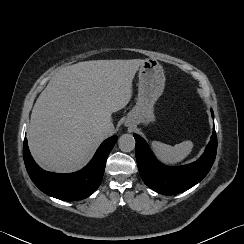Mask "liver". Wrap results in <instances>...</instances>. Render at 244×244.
Listing matches in <instances>:
<instances>
[{
    "mask_svg": "<svg viewBox=\"0 0 244 244\" xmlns=\"http://www.w3.org/2000/svg\"><path fill=\"white\" fill-rule=\"evenodd\" d=\"M144 60H93L61 68L39 95L27 139L47 171L83 168L105 139L100 128L132 97V81Z\"/></svg>",
    "mask_w": 244,
    "mask_h": 244,
    "instance_id": "1",
    "label": "liver"
}]
</instances>
